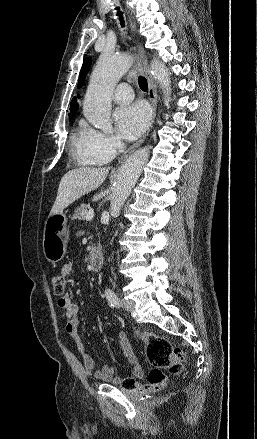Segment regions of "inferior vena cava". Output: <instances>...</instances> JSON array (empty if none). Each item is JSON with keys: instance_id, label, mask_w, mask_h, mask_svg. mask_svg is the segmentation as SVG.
<instances>
[{"instance_id": "1", "label": "inferior vena cava", "mask_w": 257, "mask_h": 439, "mask_svg": "<svg viewBox=\"0 0 257 439\" xmlns=\"http://www.w3.org/2000/svg\"><path fill=\"white\" fill-rule=\"evenodd\" d=\"M123 149H124V144H120V145L118 146V150H119V152H122Z\"/></svg>"}]
</instances>
